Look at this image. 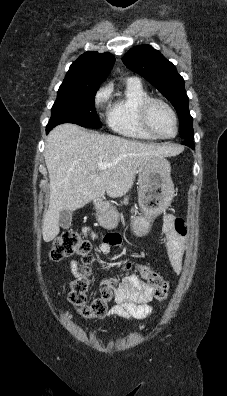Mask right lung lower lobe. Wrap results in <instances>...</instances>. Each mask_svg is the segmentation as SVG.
I'll return each instance as SVG.
<instances>
[{"label":"right lung lower lobe","instance_id":"right-lung-lower-lobe-1","mask_svg":"<svg viewBox=\"0 0 227 396\" xmlns=\"http://www.w3.org/2000/svg\"><path fill=\"white\" fill-rule=\"evenodd\" d=\"M53 127H46V132L48 133Z\"/></svg>","mask_w":227,"mask_h":396}]
</instances>
